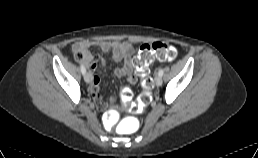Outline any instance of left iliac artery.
Masks as SVG:
<instances>
[{
	"label": "left iliac artery",
	"instance_id": "left-iliac-artery-1",
	"mask_svg": "<svg viewBox=\"0 0 258 158\" xmlns=\"http://www.w3.org/2000/svg\"><path fill=\"white\" fill-rule=\"evenodd\" d=\"M163 74H164V70L161 68V69L159 70V72H158V75L162 77Z\"/></svg>",
	"mask_w": 258,
	"mask_h": 158
}]
</instances>
